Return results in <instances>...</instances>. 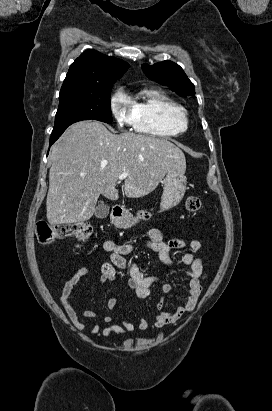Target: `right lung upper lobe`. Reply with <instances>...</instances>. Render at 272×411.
Listing matches in <instances>:
<instances>
[{
	"instance_id": "cb5924a9",
	"label": "right lung upper lobe",
	"mask_w": 272,
	"mask_h": 411,
	"mask_svg": "<svg viewBox=\"0 0 272 411\" xmlns=\"http://www.w3.org/2000/svg\"><path fill=\"white\" fill-rule=\"evenodd\" d=\"M129 64L96 50L84 51L70 66L60 92L93 89L114 83Z\"/></svg>"
}]
</instances>
